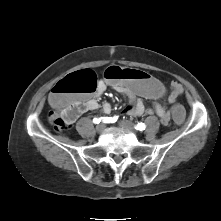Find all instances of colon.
Here are the masks:
<instances>
[{"mask_svg": "<svg viewBox=\"0 0 221 221\" xmlns=\"http://www.w3.org/2000/svg\"><path fill=\"white\" fill-rule=\"evenodd\" d=\"M104 78L108 84H123L130 87L136 95L151 101L162 99L167 92L164 81L157 75L134 68L124 70L121 66L115 65L106 70ZM96 86V74L85 69L66 76L53 87L49 102L54 110L49 118L57 132L70 127L73 115L79 108L77 99L94 92ZM169 115L170 122L176 126L182 125L188 118V112L180 102L171 105Z\"/></svg>", "mask_w": 221, "mask_h": 221, "instance_id": "5ec220e1", "label": "colon"}]
</instances>
